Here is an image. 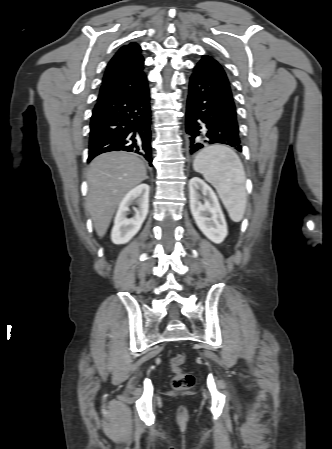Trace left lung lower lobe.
Masks as SVG:
<instances>
[{
	"label": "left lung lower lobe",
	"instance_id": "1",
	"mask_svg": "<svg viewBox=\"0 0 332 449\" xmlns=\"http://www.w3.org/2000/svg\"><path fill=\"white\" fill-rule=\"evenodd\" d=\"M186 133L191 155L215 143L242 151L231 86L224 70L213 63L200 61L193 68Z\"/></svg>",
	"mask_w": 332,
	"mask_h": 449
}]
</instances>
